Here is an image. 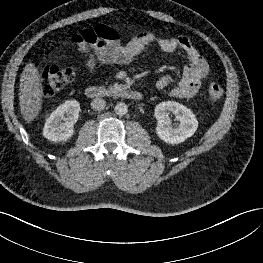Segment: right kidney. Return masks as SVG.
Instances as JSON below:
<instances>
[{
    "mask_svg": "<svg viewBox=\"0 0 263 263\" xmlns=\"http://www.w3.org/2000/svg\"><path fill=\"white\" fill-rule=\"evenodd\" d=\"M80 104L67 100L59 105L47 118L43 135L52 142L67 141L74 134V124L79 118Z\"/></svg>",
    "mask_w": 263,
    "mask_h": 263,
    "instance_id": "ca27d5eb",
    "label": "right kidney"
}]
</instances>
